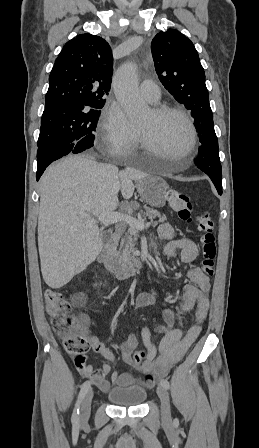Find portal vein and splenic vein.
Returning <instances> with one entry per match:
<instances>
[{"label":"portal vein and splenic vein","instance_id":"1","mask_svg":"<svg viewBox=\"0 0 259 448\" xmlns=\"http://www.w3.org/2000/svg\"><path fill=\"white\" fill-rule=\"evenodd\" d=\"M79 218H90V214H84V212H77ZM98 222L103 224V226H109V224H117V222H126L130 228H135V230H145L147 226L144 224V220H136L128 214H120V212H107V214H101V216H96Z\"/></svg>","mask_w":259,"mask_h":448}]
</instances>
